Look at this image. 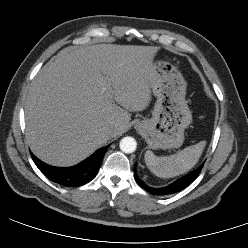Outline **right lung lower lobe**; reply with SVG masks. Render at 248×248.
I'll use <instances>...</instances> for the list:
<instances>
[{
	"label": "right lung lower lobe",
	"instance_id": "98d812e1",
	"mask_svg": "<svg viewBox=\"0 0 248 248\" xmlns=\"http://www.w3.org/2000/svg\"><path fill=\"white\" fill-rule=\"evenodd\" d=\"M108 147L109 145L98 149L80 164L69 168L53 167L40 161L33 154L31 156L36 166L51 181L63 186L74 187L82 186L95 178Z\"/></svg>",
	"mask_w": 248,
	"mask_h": 248
}]
</instances>
